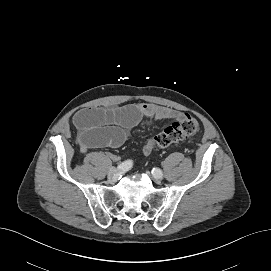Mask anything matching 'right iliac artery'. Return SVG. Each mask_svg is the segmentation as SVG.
Returning a JSON list of instances; mask_svg holds the SVG:
<instances>
[{
	"label": "right iliac artery",
	"instance_id": "82829eb1",
	"mask_svg": "<svg viewBox=\"0 0 271 271\" xmlns=\"http://www.w3.org/2000/svg\"><path fill=\"white\" fill-rule=\"evenodd\" d=\"M133 163L131 160H127V161H124L122 163H120L117 167V169L119 171H128L129 169H131Z\"/></svg>",
	"mask_w": 271,
	"mask_h": 271
}]
</instances>
